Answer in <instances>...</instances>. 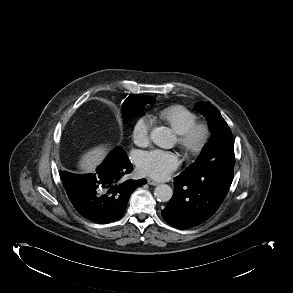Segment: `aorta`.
Here are the masks:
<instances>
[{"label":"aorta","mask_w":293,"mask_h":293,"mask_svg":"<svg viewBox=\"0 0 293 293\" xmlns=\"http://www.w3.org/2000/svg\"><path fill=\"white\" fill-rule=\"evenodd\" d=\"M150 139L157 146L165 149L172 148L174 146V135L167 127H155L150 132ZM173 190L167 184H160L154 190L155 198L160 202H167L172 198Z\"/></svg>","instance_id":"obj_1"}]
</instances>
